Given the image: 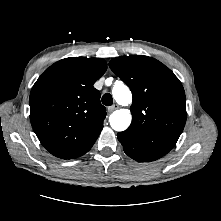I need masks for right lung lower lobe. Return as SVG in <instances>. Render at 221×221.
<instances>
[{
	"instance_id": "obj_1",
	"label": "right lung lower lobe",
	"mask_w": 221,
	"mask_h": 221,
	"mask_svg": "<svg viewBox=\"0 0 221 221\" xmlns=\"http://www.w3.org/2000/svg\"><path fill=\"white\" fill-rule=\"evenodd\" d=\"M91 147H92V146H91ZM91 147H90V148H91ZM90 148H89L88 150H86L84 153H82L81 155H83V154H85L87 151H89ZM81 155H79V156H81ZM79 156H77V157H79Z\"/></svg>"
}]
</instances>
